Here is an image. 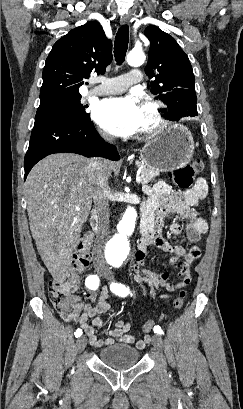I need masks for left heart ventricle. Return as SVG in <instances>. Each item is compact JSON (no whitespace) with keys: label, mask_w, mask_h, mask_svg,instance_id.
Here are the masks:
<instances>
[{"label":"left heart ventricle","mask_w":243,"mask_h":409,"mask_svg":"<svg viewBox=\"0 0 243 409\" xmlns=\"http://www.w3.org/2000/svg\"><path fill=\"white\" fill-rule=\"evenodd\" d=\"M141 127L140 130L146 129L153 124L151 113L147 107L141 105Z\"/></svg>","instance_id":"obj_1"}]
</instances>
